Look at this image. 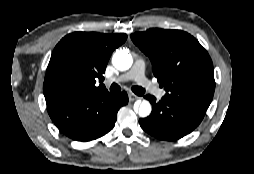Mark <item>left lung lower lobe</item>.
Instances as JSON below:
<instances>
[{
    "instance_id": "obj_1",
    "label": "left lung lower lobe",
    "mask_w": 254,
    "mask_h": 174,
    "mask_svg": "<svg viewBox=\"0 0 254 174\" xmlns=\"http://www.w3.org/2000/svg\"><path fill=\"white\" fill-rule=\"evenodd\" d=\"M152 104V112L139 120L140 126L150 135L166 141H174L191 133L202 121L207 108L192 102H178L163 97L159 102L146 95Z\"/></svg>"
}]
</instances>
